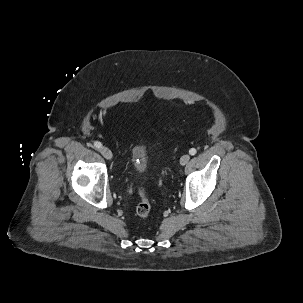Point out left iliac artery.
Masks as SVG:
<instances>
[{
  "label": "left iliac artery",
  "mask_w": 303,
  "mask_h": 303,
  "mask_svg": "<svg viewBox=\"0 0 303 303\" xmlns=\"http://www.w3.org/2000/svg\"><path fill=\"white\" fill-rule=\"evenodd\" d=\"M197 153V151H196V149L195 148H191L190 150H189V154L190 155H195Z\"/></svg>",
  "instance_id": "obj_1"
}]
</instances>
